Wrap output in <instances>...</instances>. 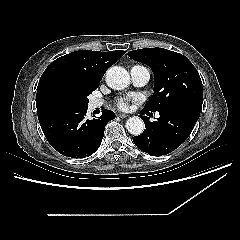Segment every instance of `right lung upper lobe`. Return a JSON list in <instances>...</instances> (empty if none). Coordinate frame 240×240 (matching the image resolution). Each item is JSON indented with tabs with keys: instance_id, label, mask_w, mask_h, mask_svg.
<instances>
[{
	"instance_id": "cb5924a9",
	"label": "right lung upper lobe",
	"mask_w": 240,
	"mask_h": 240,
	"mask_svg": "<svg viewBox=\"0 0 240 240\" xmlns=\"http://www.w3.org/2000/svg\"><path fill=\"white\" fill-rule=\"evenodd\" d=\"M125 54V51L96 52L80 50L54 60L43 72L37 87L36 106L41 120L64 108L54 98L52 90L61 81L99 85L106 70Z\"/></svg>"
}]
</instances>
